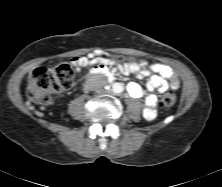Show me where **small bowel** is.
Segmentation results:
<instances>
[{
  "mask_svg": "<svg viewBox=\"0 0 222 187\" xmlns=\"http://www.w3.org/2000/svg\"><path fill=\"white\" fill-rule=\"evenodd\" d=\"M76 72L85 67H106L109 72L119 71L123 75L133 74L137 79H146V85L140 86L136 82H130L127 86L129 95L133 98L145 96L144 115L147 119L156 117L157 96L151 93L153 90L164 92L167 89H177L179 79L173 69L162 63H119L113 59H103L100 54H90L74 58L71 62Z\"/></svg>",
  "mask_w": 222,
  "mask_h": 187,
  "instance_id": "small-bowel-1",
  "label": "small bowel"
}]
</instances>
